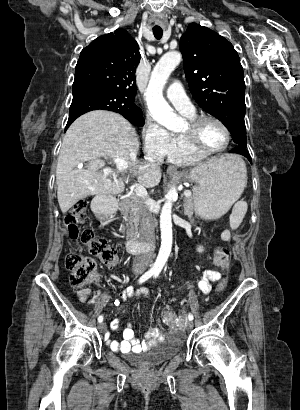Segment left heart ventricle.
<instances>
[{"label":"left heart ventricle","mask_w":300,"mask_h":410,"mask_svg":"<svg viewBox=\"0 0 300 410\" xmlns=\"http://www.w3.org/2000/svg\"><path fill=\"white\" fill-rule=\"evenodd\" d=\"M199 138L203 148L207 150L219 149L223 147L226 142V135L223 129L211 121L202 124L199 131Z\"/></svg>","instance_id":"1"}]
</instances>
